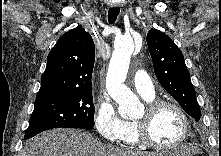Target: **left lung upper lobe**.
Masks as SVG:
<instances>
[{
	"label": "left lung upper lobe",
	"instance_id": "5c2ea615",
	"mask_svg": "<svg viewBox=\"0 0 221 156\" xmlns=\"http://www.w3.org/2000/svg\"><path fill=\"white\" fill-rule=\"evenodd\" d=\"M147 45L160 84L187 114L199 122L200 107L181 50L169 36L157 29L148 32Z\"/></svg>",
	"mask_w": 221,
	"mask_h": 156
}]
</instances>
